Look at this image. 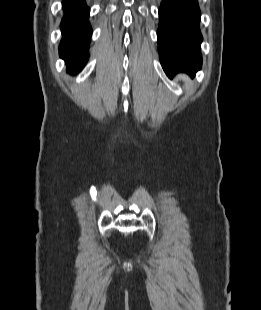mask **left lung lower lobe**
I'll return each mask as SVG.
<instances>
[{
    "label": "left lung lower lobe",
    "instance_id": "1",
    "mask_svg": "<svg viewBox=\"0 0 261 310\" xmlns=\"http://www.w3.org/2000/svg\"><path fill=\"white\" fill-rule=\"evenodd\" d=\"M197 0H162L157 32L161 65L169 77L176 72L194 75L202 65Z\"/></svg>",
    "mask_w": 261,
    "mask_h": 310
}]
</instances>
